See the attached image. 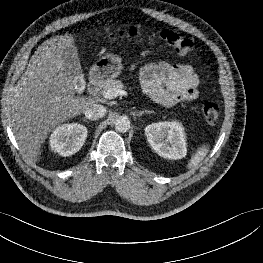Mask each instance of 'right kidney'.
<instances>
[{
  "label": "right kidney",
  "mask_w": 263,
  "mask_h": 263,
  "mask_svg": "<svg viewBox=\"0 0 263 263\" xmlns=\"http://www.w3.org/2000/svg\"><path fill=\"white\" fill-rule=\"evenodd\" d=\"M87 135V128L78 123L60 125L51 134V150L63 157L71 156L81 149Z\"/></svg>",
  "instance_id": "right-kidney-1"
}]
</instances>
